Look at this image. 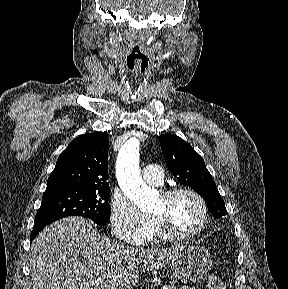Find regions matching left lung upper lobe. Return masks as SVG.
<instances>
[{
	"instance_id": "obj_1",
	"label": "left lung upper lobe",
	"mask_w": 288,
	"mask_h": 289,
	"mask_svg": "<svg viewBox=\"0 0 288 289\" xmlns=\"http://www.w3.org/2000/svg\"><path fill=\"white\" fill-rule=\"evenodd\" d=\"M162 153L171 173L200 194L212 215L220 218L227 214L225 203L207 170L202 157L188 142L177 135L159 137Z\"/></svg>"
}]
</instances>
